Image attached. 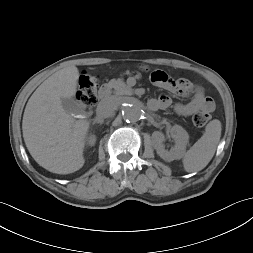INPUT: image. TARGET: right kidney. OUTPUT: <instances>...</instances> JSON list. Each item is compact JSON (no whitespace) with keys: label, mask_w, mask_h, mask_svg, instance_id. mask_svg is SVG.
Returning <instances> with one entry per match:
<instances>
[{"label":"right kidney","mask_w":253,"mask_h":253,"mask_svg":"<svg viewBox=\"0 0 253 253\" xmlns=\"http://www.w3.org/2000/svg\"><path fill=\"white\" fill-rule=\"evenodd\" d=\"M95 142H96V137H95V135H90V136L88 137V139H87V144H88L89 146H94Z\"/></svg>","instance_id":"ca27d5eb"}]
</instances>
